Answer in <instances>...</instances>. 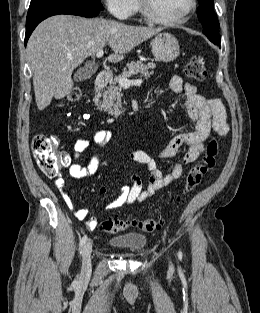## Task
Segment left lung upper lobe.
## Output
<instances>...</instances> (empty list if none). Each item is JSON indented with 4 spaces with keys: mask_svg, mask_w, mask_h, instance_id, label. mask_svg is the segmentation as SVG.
I'll return each instance as SVG.
<instances>
[{
    "mask_svg": "<svg viewBox=\"0 0 260 313\" xmlns=\"http://www.w3.org/2000/svg\"><path fill=\"white\" fill-rule=\"evenodd\" d=\"M200 3V8L198 9L197 15L204 28L203 33L208 37L210 41L214 44H219L220 34H219V22L217 15L213 9L214 0H198Z\"/></svg>",
    "mask_w": 260,
    "mask_h": 313,
    "instance_id": "1",
    "label": "left lung upper lobe"
}]
</instances>
